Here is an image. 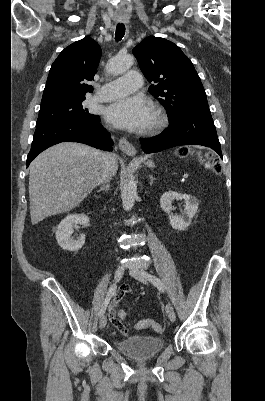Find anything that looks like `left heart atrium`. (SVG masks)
<instances>
[{
    "mask_svg": "<svg viewBox=\"0 0 265 401\" xmlns=\"http://www.w3.org/2000/svg\"><path fill=\"white\" fill-rule=\"evenodd\" d=\"M153 113L151 104L141 97H125L105 109L106 120L118 128L138 130L147 127Z\"/></svg>",
    "mask_w": 265,
    "mask_h": 401,
    "instance_id": "39dd6f15",
    "label": "left heart atrium"
}]
</instances>
